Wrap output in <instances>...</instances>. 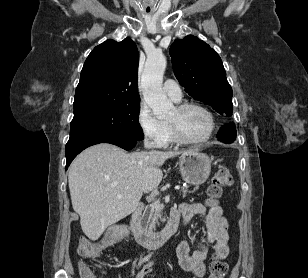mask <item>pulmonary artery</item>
<instances>
[{
	"label": "pulmonary artery",
	"instance_id": "e3ab8cb5",
	"mask_svg": "<svg viewBox=\"0 0 308 278\" xmlns=\"http://www.w3.org/2000/svg\"><path fill=\"white\" fill-rule=\"evenodd\" d=\"M164 92L174 101L178 102L182 98L179 85L173 80H166L163 85Z\"/></svg>",
	"mask_w": 308,
	"mask_h": 278
}]
</instances>
